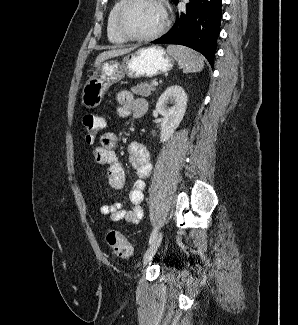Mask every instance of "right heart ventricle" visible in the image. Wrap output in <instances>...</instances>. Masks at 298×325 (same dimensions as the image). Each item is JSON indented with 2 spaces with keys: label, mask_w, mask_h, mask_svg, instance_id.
Listing matches in <instances>:
<instances>
[{
  "label": "right heart ventricle",
  "mask_w": 298,
  "mask_h": 325,
  "mask_svg": "<svg viewBox=\"0 0 298 325\" xmlns=\"http://www.w3.org/2000/svg\"><path fill=\"white\" fill-rule=\"evenodd\" d=\"M124 1L116 2L109 11L107 22H106V33L108 41L114 46H123L127 43L125 39L120 37L115 30L114 22L117 12L120 6L123 4Z\"/></svg>",
  "instance_id": "e07e8e85"
}]
</instances>
